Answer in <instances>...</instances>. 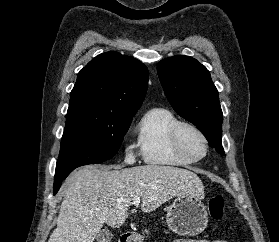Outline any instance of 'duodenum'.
<instances>
[{"mask_svg": "<svg viewBox=\"0 0 279 242\" xmlns=\"http://www.w3.org/2000/svg\"><path fill=\"white\" fill-rule=\"evenodd\" d=\"M130 241V237L128 234L122 235L120 242H129Z\"/></svg>", "mask_w": 279, "mask_h": 242, "instance_id": "1", "label": "duodenum"}]
</instances>
